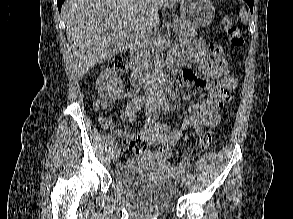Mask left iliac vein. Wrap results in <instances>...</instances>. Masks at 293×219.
Masks as SVG:
<instances>
[{"mask_svg":"<svg viewBox=\"0 0 293 219\" xmlns=\"http://www.w3.org/2000/svg\"><path fill=\"white\" fill-rule=\"evenodd\" d=\"M169 106H168V102L166 99H164L158 106L159 112L162 114H166L167 110H168ZM188 173L185 169H183V174H182V182L187 185L188 184Z\"/></svg>","mask_w":293,"mask_h":219,"instance_id":"1","label":"left iliac vein"}]
</instances>
